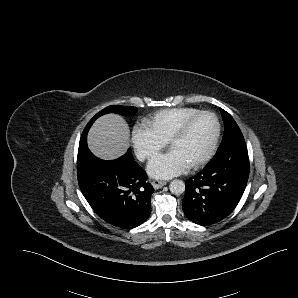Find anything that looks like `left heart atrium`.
<instances>
[{"mask_svg": "<svg viewBox=\"0 0 298 298\" xmlns=\"http://www.w3.org/2000/svg\"><path fill=\"white\" fill-rule=\"evenodd\" d=\"M189 165L175 152L169 150L152 157L147 165L148 173L157 179H169L182 174Z\"/></svg>", "mask_w": 298, "mask_h": 298, "instance_id": "obj_1", "label": "left heart atrium"}]
</instances>
